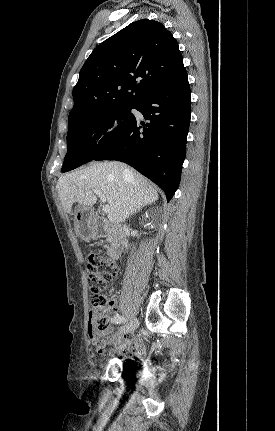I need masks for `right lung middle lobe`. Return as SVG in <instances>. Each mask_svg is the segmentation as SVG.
<instances>
[{"instance_id": "dd1d6c3e", "label": "right lung middle lobe", "mask_w": 275, "mask_h": 431, "mask_svg": "<svg viewBox=\"0 0 275 431\" xmlns=\"http://www.w3.org/2000/svg\"><path fill=\"white\" fill-rule=\"evenodd\" d=\"M132 105H117L87 114L68 124L67 147L62 172L94 160L135 120Z\"/></svg>"}]
</instances>
